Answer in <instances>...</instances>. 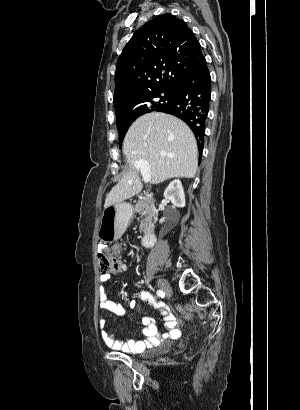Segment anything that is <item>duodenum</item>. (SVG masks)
I'll use <instances>...</instances> for the list:
<instances>
[{
	"mask_svg": "<svg viewBox=\"0 0 300 410\" xmlns=\"http://www.w3.org/2000/svg\"><path fill=\"white\" fill-rule=\"evenodd\" d=\"M156 239H157L156 234L149 232L142 237L141 246L145 248L152 247L155 244Z\"/></svg>",
	"mask_w": 300,
	"mask_h": 410,
	"instance_id": "410a0bca",
	"label": "duodenum"
}]
</instances>
